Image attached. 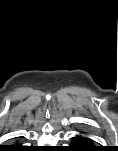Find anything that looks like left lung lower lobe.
Instances as JSON below:
<instances>
[{
  "mask_svg": "<svg viewBox=\"0 0 118 151\" xmlns=\"http://www.w3.org/2000/svg\"><path fill=\"white\" fill-rule=\"evenodd\" d=\"M70 147L69 151H98V148L92 146L91 140L83 135L73 137Z\"/></svg>",
  "mask_w": 118,
  "mask_h": 151,
  "instance_id": "obj_1",
  "label": "left lung lower lobe"
}]
</instances>
